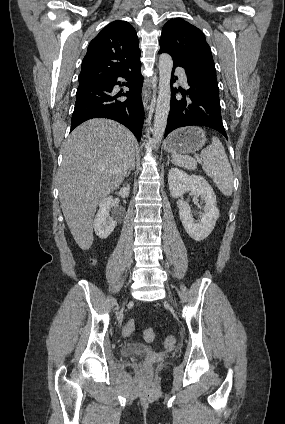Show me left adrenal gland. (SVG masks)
Returning <instances> with one entry per match:
<instances>
[{
  "mask_svg": "<svg viewBox=\"0 0 285 424\" xmlns=\"http://www.w3.org/2000/svg\"><path fill=\"white\" fill-rule=\"evenodd\" d=\"M167 158H168V160H167V165H169V162H170V157H169V155L167 156Z\"/></svg>",
  "mask_w": 285,
  "mask_h": 424,
  "instance_id": "obj_1",
  "label": "left adrenal gland"
}]
</instances>
